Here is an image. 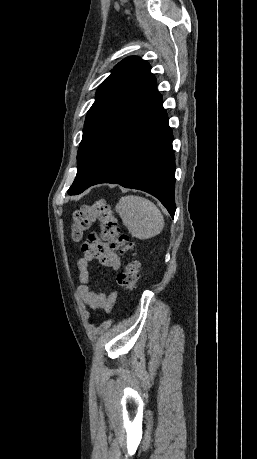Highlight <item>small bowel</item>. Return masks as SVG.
<instances>
[{"mask_svg":"<svg viewBox=\"0 0 257 459\" xmlns=\"http://www.w3.org/2000/svg\"><path fill=\"white\" fill-rule=\"evenodd\" d=\"M82 257L78 260L80 286L77 293L91 309H105L110 312L116 302L117 292L104 293L91 287L90 266L97 261L102 267L116 271L120 267V258L109 244L101 242L95 234L89 235L81 247Z\"/></svg>","mask_w":257,"mask_h":459,"instance_id":"1","label":"small bowel"}]
</instances>
